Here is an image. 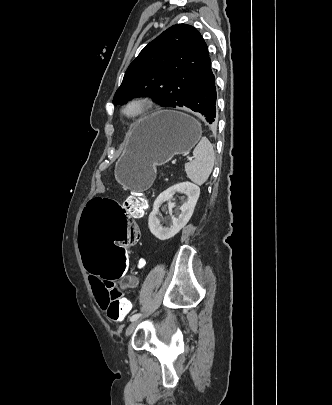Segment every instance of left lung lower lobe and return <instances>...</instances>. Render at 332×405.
Returning a JSON list of instances; mask_svg holds the SVG:
<instances>
[{"instance_id": "obj_1", "label": "left lung lower lobe", "mask_w": 332, "mask_h": 405, "mask_svg": "<svg viewBox=\"0 0 332 405\" xmlns=\"http://www.w3.org/2000/svg\"><path fill=\"white\" fill-rule=\"evenodd\" d=\"M216 96L215 77L209 60L199 74L192 89L190 101L185 107L199 113L208 123L215 125L218 120Z\"/></svg>"}]
</instances>
